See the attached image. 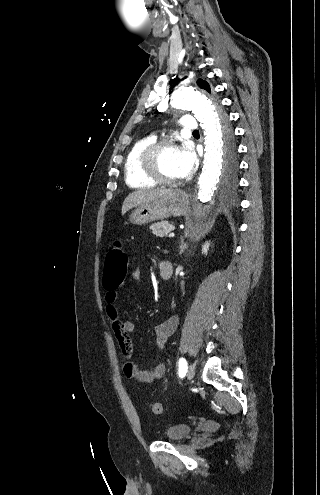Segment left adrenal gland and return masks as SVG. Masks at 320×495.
Masks as SVG:
<instances>
[{"label": "left adrenal gland", "mask_w": 320, "mask_h": 495, "mask_svg": "<svg viewBox=\"0 0 320 495\" xmlns=\"http://www.w3.org/2000/svg\"><path fill=\"white\" fill-rule=\"evenodd\" d=\"M186 248H187V245L182 238L180 241V254H182Z\"/></svg>", "instance_id": "obj_1"}]
</instances>
